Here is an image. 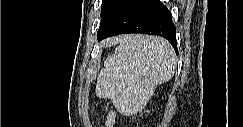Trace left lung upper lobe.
Returning <instances> with one entry per match:
<instances>
[{"mask_svg": "<svg viewBox=\"0 0 243 127\" xmlns=\"http://www.w3.org/2000/svg\"><path fill=\"white\" fill-rule=\"evenodd\" d=\"M122 0H102L101 23L99 28L106 26V17L119 5Z\"/></svg>", "mask_w": 243, "mask_h": 127, "instance_id": "left-lung-upper-lobe-1", "label": "left lung upper lobe"}]
</instances>
